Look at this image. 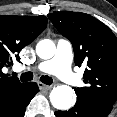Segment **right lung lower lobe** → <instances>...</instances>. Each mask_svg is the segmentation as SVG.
<instances>
[{"instance_id":"obj_1","label":"right lung lower lobe","mask_w":117,"mask_h":117,"mask_svg":"<svg viewBox=\"0 0 117 117\" xmlns=\"http://www.w3.org/2000/svg\"><path fill=\"white\" fill-rule=\"evenodd\" d=\"M38 91L35 82L26 83L8 103L0 107V117H24L27 105Z\"/></svg>"}]
</instances>
